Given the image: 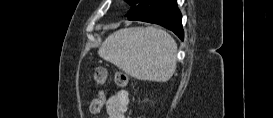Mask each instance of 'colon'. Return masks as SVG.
Here are the masks:
<instances>
[{
    "instance_id": "colon-1",
    "label": "colon",
    "mask_w": 273,
    "mask_h": 118,
    "mask_svg": "<svg viewBox=\"0 0 273 118\" xmlns=\"http://www.w3.org/2000/svg\"><path fill=\"white\" fill-rule=\"evenodd\" d=\"M95 81L99 85H104L108 78V70L103 66H98L94 73ZM115 82L119 87H125L128 84V76L123 72H116L114 75ZM106 103V96L103 91H99L98 95L91 101L89 109L92 113H98L102 110Z\"/></svg>"
}]
</instances>
